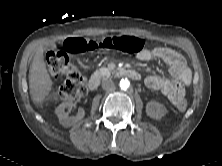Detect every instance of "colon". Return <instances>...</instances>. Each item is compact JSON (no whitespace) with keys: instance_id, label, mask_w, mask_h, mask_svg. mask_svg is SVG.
I'll use <instances>...</instances> for the list:
<instances>
[{"instance_id":"colon-1","label":"colon","mask_w":222,"mask_h":166,"mask_svg":"<svg viewBox=\"0 0 222 166\" xmlns=\"http://www.w3.org/2000/svg\"><path fill=\"white\" fill-rule=\"evenodd\" d=\"M144 41L133 36H111L100 41H86L81 38H71L64 42L62 51L50 52L47 55V69L51 76H63L64 82L55 94V99L73 100L85 94V80L79 67L72 61V54L96 49L116 50L123 53H137L142 50ZM180 111L187 107L183 98L176 105Z\"/></svg>"}]
</instances>
